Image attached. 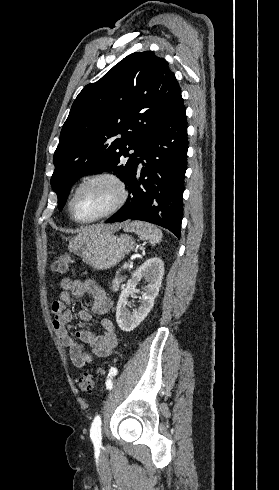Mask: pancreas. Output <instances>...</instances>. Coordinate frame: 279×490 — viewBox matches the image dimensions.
<instances>
[{"label":"pancreas","mask_w":279,"mask_h":490,"mask_svg":"<svg viewBox=\"0 0 279 490\" xmlns=\"http://www.w3.org/2000/svg\"><path fill=\"white\" fill-rule=\"evenodd\" d=\"M123 280H124V278H120V270H119V272H117V274L115 276V280H113V282H112L111 290H114V292H117V290H119L120 284H121V282H123Z\"/></svg>","instance_id":"1"}]
</instances>
